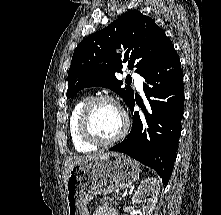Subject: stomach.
Listing matches in <instances>:
<instances>
[{"label": "stomach", "instance_id": "obj_1", "mask_svg": "<svg viewBox=\"0 0 221 215\" xmlns=\"http://www.w3.org/2000/svg\"><path fill=\"white\" fill-rule=\"evenodd\" d=\"M139 164L117 152H106L77 163L67 181L68 215H88L87 204L97 195H107L138 180Z\"/></svg>", "mask_w": 221, "mask_h": 215}]
</instances>
